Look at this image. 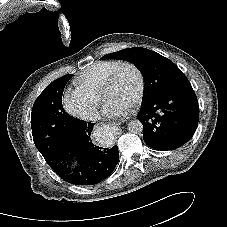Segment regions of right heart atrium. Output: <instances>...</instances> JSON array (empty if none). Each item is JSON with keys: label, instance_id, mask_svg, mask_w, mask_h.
<instances>
[{"label": "right heart atrium", "instance_id": "d8ad5b80", "mask_svg": "<svg viewBox=\"0 0 227 227\" xmlns=\"http://www.w3.org/2000/svg\"><path fill=\"white\" fill-rule=\"evenodd\" d=\"M65 111L82 120H95L98 117L100 100L78 89H66L62 97Z\"/></svg>", "mask_w": 227, "mask_h": 227}]
</instances>
